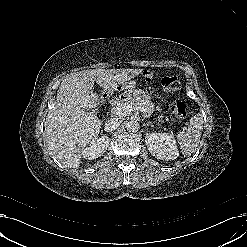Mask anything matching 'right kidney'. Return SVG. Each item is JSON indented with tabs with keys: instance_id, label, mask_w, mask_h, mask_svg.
<instances>
[{
	"instance_id": "obj_1",
	"label": "right kidney",
	"mask_w": 247,
	"mask_h": 247,
	"mask_svg": "<svg viewBox=\"0 0 247 247\" xmlns=\"http://www.w3.org/2000/svg\"><path fill=\"white\" fill-rule=\"evenodd\" d=\"M109 145V137L101 136L90 142V144L85 147L81 154L85 159L93 160L105 153Z\"/></svg>"
}]
</instances>
